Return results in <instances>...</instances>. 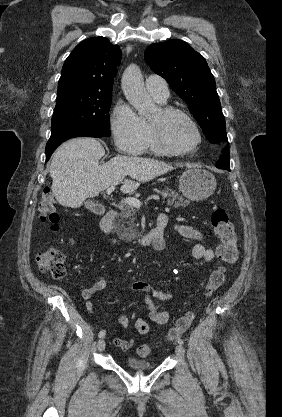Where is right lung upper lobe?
Returning a JSON list of instances; mask_svg holds the SVG:
<instances>
[{"mask_svg": "<svg viewBox=\"0 0 282 417\" xmlns=\"http://www.w3.org/2000/svg\"><path fill=\"white\" fill-rule=\"evenodd\" d=\"M120 59L119 46L111 44L105 37L82 41L63 65L57 93L79 90L112 92Z\"/></svg>", "mask_w": 282, "mask_h": 417, "instance_id": "1", "label": "right lung upper lobe"}]
</instances>
